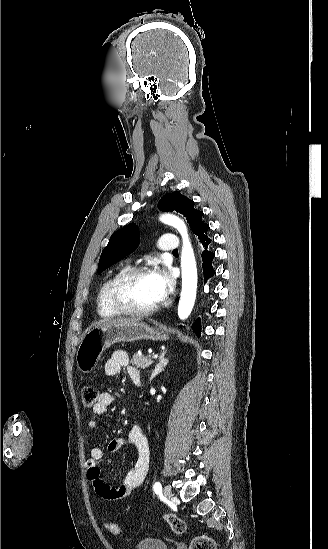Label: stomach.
Wrapping results in <instances>:
<instances>
[{
	"instance_id": "0dacf381",
	"label": "stomach",
	"mask_w": 328,
	"mask_h": 549,
	"mask_svg": "<svg viewBox=\"0 0 328 549\" xmlns=\"http://www.w3.org/2000/svg\"><path fill=\"white\" fill-rule=\"evenodd\" d=\"M168 341L169 335L163 329L150 327L145 321L130 325H109V327H91L84 333L76 353V365L81 373H91L104 351L115 343L128 341Z\"/></svg>"
}]
</instances>
